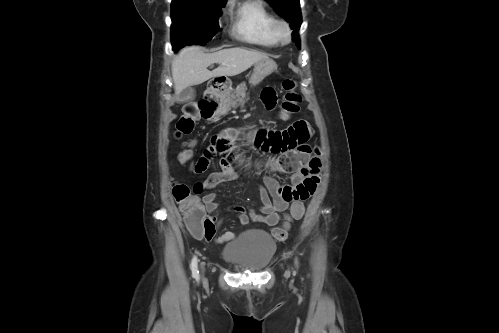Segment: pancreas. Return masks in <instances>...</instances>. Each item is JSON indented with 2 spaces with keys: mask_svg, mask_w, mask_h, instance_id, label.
Returning <instances> with one entry per match:
<instances>
[{
  "mask_svg": "<svg viewBox=\"0 0 499 333\" xmlns=\"http://www.w3.org/2000/svg\"><path fill=\"white\" fill-rule=\"evenodd\" d=\"M246 83L243 82L235 90H227L221 94L222 112L226 113L231 108H237L239 102L245 96Z\"/></svg>",
  "mask_w": 499,
  "mask_h": 333,
  "instance_id": "pancreas-1",
  "label": "pancreas"
}]
</instances>
